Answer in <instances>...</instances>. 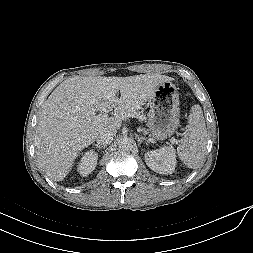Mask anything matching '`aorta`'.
Here are the masks:
<instances>
[{
    "instance_id": "obj_1",
    "label": "aorta",
    "mask_w": 253,
    "mask_h": 253,
    "mask_svg": "<svg viewBox=\"0 0 253 253\" xmlns=\"http://www.w3.org/2000/svg\"><path fill=\"white\" fill-rule=\"evenodd\" d=\"M118 147L121 150H131L133 148V140L129 137L120 138L118 141Z\"/></svg>"
}]
</instances>
